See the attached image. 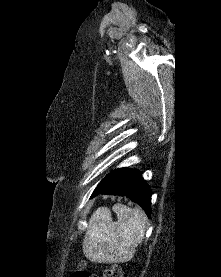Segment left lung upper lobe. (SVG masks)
<instances>
[{
    "instance_id": "left-lung-upper-lobe-1",
    "label": "left lung upper lobe",
    "mask_w": 221,
    "mask_h": 277,
    "mask_svg": "<svg viewBox=\"0 0 221 277\" xmlns=\"http://www.w3.org/2000/svg\"><path fill=\"white\" fill-rule=\"evenodd\" d=\"M123 168H121V169H116V170H114V171H112V172H110L104 179H106V178H109V177H112V176H114V175H116L118 172H120L121 170H122ZM103 179V180H104Z\"/></svg>"
}]
</instances>
